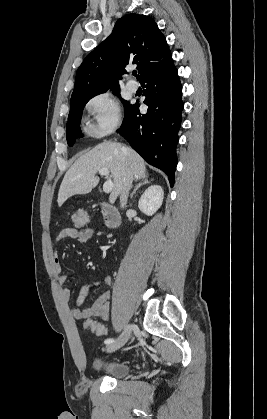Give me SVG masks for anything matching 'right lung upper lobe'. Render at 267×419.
Here are the masks:
<instances>
[{
    "mask_svg": "<svg viewBox=\"0 0 267 419\" xmlns=\"http://www.w3.org/2000/svg\"><path fill=\"white\" fill-rule=\"evenodd\" d=\"M173 61L165 36L146 15L127 14L112 34L86 56L77 70L71 100L119 90L118 78L136 64L141 81L148 73Z\"/></svg>",
    "mask_w": 267,
    "mask_h": 419,
    "instance_id": "1",
    "label": "right lung upper lobe"
}]
</instances>
